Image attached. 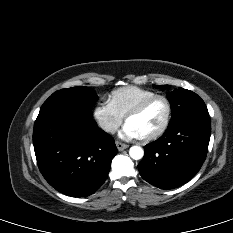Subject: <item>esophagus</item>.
Here are the masks:
<instances>
[{"instance_id": "esophagus-1", "label": "esophagus", "mask_w": 233, "mask_h": 233, "mask_svg": "<svg viewBox=\"0 0 233 233\" xmlns=\"http://www.w3.org/2000/svg\"><path fill=\"white\" fill-rule=\"evenodd\" d=\"M116 146H117V149L119 151H123L125 150L126 148H128L129 145L125 144V143H122V142H119V141H116Z\"/></svg>"}]
</instances>
